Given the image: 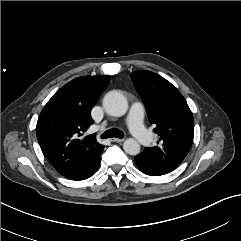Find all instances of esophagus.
I'll return each mask as SVG.
<instances>
[{"label":"esophagus","instance_id":"1","mask_svg":"<svg viewBox=\"0 0 241 241\" xmlns=\"http://www.w3.org/2000/svg\"><path fill=\"white\" fill-rule=\"evenodd\" d=\"M111 141H112V142H123L124 139L112 138Z\"/></svg>","mask_w":241,"mask_h":241}]
</instances>
